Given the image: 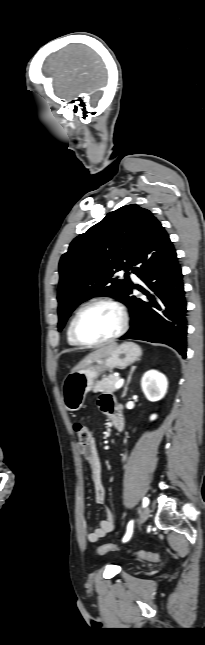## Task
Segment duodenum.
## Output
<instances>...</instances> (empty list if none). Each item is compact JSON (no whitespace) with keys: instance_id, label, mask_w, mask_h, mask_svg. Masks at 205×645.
Returning <instances> with one entry per match:
<instances>
[{"instance_id":"duodenum-1","label":"duodenum","mask_w":205,"mask_h":645,"mask_svg":"<svg viewBox=\"0 0 205 645\" xmlns=\"http://www.w3.org/2000/svg\"><path fill=\"white\" fill-rule=\"evenodd\" d=\"M113 423L118 430L123 429V419L120 414L115 415V417L113 418Z\"/></svg>"}]
</instances>
